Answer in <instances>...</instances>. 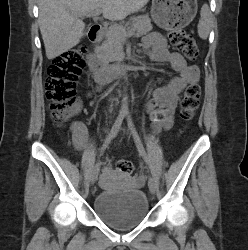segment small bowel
<instances>
[{"label": "small bowel", "mask_w": 248, "mask_h": 250, "mask_svg": "<svg viewBox=\"0 0 248 250\" xmlns=\"http://www.w3.org/2000/svg\"><path fill=\"white\" fill-rule=\"evenodd\" d=\"M145 51L153 62H168L178 76L172 77L166 84L154 90L153 97L146 103L152 128L155 132L168 130L173 125L175 111L182 90L192 82H198L199 69L197 65L190 64L182 54L171 51L168 48L166 38L157 32L145 36L142 44ZM74 146L81 150L88 140L87 128L84 123L77 121L71 126ZM111 167H106L103 172V182L111 174Z\"/></svg>", "instance_id": "small-bowel-1"}]
</instances>
